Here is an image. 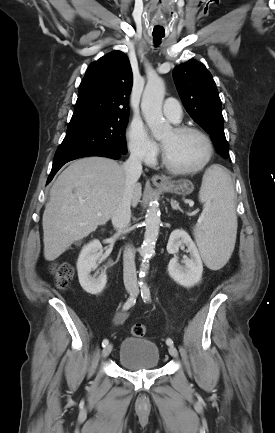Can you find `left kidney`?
<instances>
[{"mask_svg": "<svg viewBox=\"0 0 275 433\" xmlns=\"http://www.w3.org/2000/svg\"><path fill=\"white\" fill-rule=\"evenodd\" d=\"M185 244L190 253V258H186L180 265L178 258L174 257L168 264V272L171 278L184 287H191L200 281L203 272V264L199 251L192 241L189 234L181 229L174 230L169 237L167 251L169 254H176L179 247Z\"/></svg>", "mask_w": 275, "mask_h": 433, "instance_id": "1", "label": "left kidney"}]
</instances>
